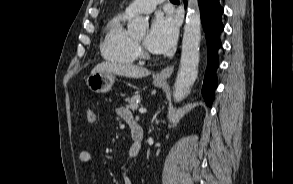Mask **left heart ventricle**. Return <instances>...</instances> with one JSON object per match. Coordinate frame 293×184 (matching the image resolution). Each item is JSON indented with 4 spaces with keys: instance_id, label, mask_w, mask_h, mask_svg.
Instances as JSON below:
<instances>
[{
    "instance_id": "b2bd125f",
    "label": "left heart ventricle",
    "mask_w": 293,
    "mask_h": 184,
    "mask_svg": "<svg viewBox=\"0 0 293 184\" xmlns=\"http://www.w3.org/2000/svg\"><path fill=\"white\" fill-rule=\"evenodd\" d=\"M136 40L139 41L140 43L144 44L145 40H146V35L142 34V35L136 37Z\"/></svg>"
}]
</instances>
